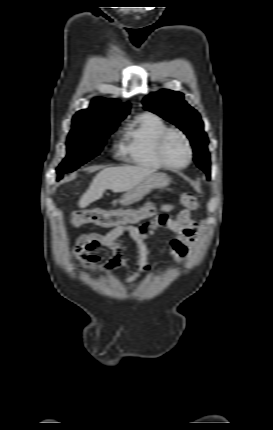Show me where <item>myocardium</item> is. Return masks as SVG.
<instances>
[{
	"instance_id": "1",
	"label": "myocardium",
	"mask_w": 273,
	"mask_h": 430,
	"mask_svg": "<svg viewBox=\"0 0 273 430\" xmlns=\"http://www.w3.org/2000/svg\"><path fill=\"white\" fill-rule=\"evenodd\" d=\"M171 134L179 135L185 143L186 151H187V158L183 164H180V165L172 164L166 159V157L164 155V144H165V141L167 140V138ZM156 152H157V156H158L159 160L161 161V163L165 167H167L169 169H173V170L184 169L185 167H187L191 163L192 157H193V151H192L191 143H190L188 136L182 130L176 129V128H169L160 134V136L158 137V140H157V144H156Z\"/></svg>"
}]
</instances>
